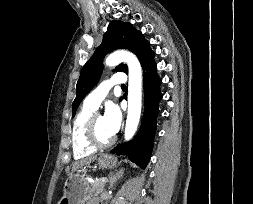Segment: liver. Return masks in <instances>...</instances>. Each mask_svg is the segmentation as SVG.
I'll return each instance as SVG.
<instances>
[{"label": "liver", "mask_w": 253, "mask_h": 204, "mask_svg": "<svg viewBox=\"0 0 253 204\" xmlns=\"http://www.w3.org/2000/svg\"><path fill=\"white\" fill-rule=\"evenodd\" d=\"M96 156H90V157H86L84 159H81L80 161H76L73 163L72 165V172L76 171L77 169L83 167L84 165H88L91 162L96 160Z\"/></svg>", "instance_id": "obj_1"}]
</instances>
